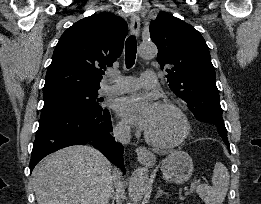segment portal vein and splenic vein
Listing matches in <instances>:
<instances>
[{"label":"portal vein and splenic vein","mask_w":261,"mask_h":204,"mask_svg":"<svg viewBox=\"0 0 261 204\" xmlns=\"http://www.w3.org/2000/svg\"><path fill=\"white\" fill-rule=\"evenodd\" d=\"M200 183H201V181H200V180H198V181H195V182L191 183V186H190L189 193H190V194H192V193L194 192V190H195L196 186H197L198 184H200Z\"/></svg>","instance_id":"portal-vein-and-splenic-vein-1"}]
</instances>
